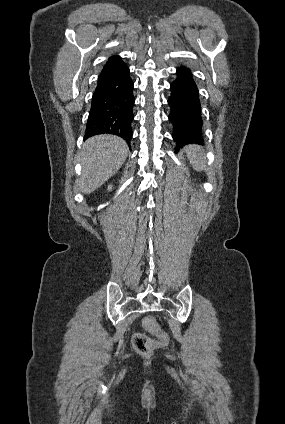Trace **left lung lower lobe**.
Segmentation results:
<instances>
[{
	"label": "left lung lower lobe",
	"mask_w": 285,
	"mask_h": 424,
	"mask_svg": "<svg viewBox=\"0 0 285 424\" xmlns=\"http://www.w3.org/2000/svg\"><path fill=\"white\" fill-rule=\"evenodd\" d=\"M171 108L169 119L173 124L172 137L177 143L176 150L190 143H202V117L198 87L190 69L180 66L176 79L170 84Z\"/></svg>",
	"instance_id": "0a47b994"
}]
</instances>
